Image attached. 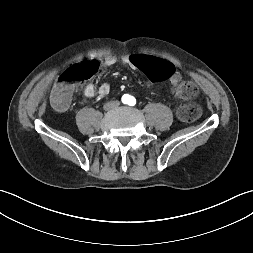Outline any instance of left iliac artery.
I'll use <instances>...</instances> for the list:
<instances>
[{
    "instance_id": "44dca946",
    "label": "left iliac artery",
    "mask_w": 253,
    "mask_h": 253,
    "mask_svg": "<svg viewBox=\"0 0 253 253\" xmlns=\"http://www.w3.org/2000/svg\"><path fill=\"white\" fill-rule=\"evenodd\" d=\"M128 104H129L130 106H134V105L136 104V99H135L134 97H130V98H129Z\"/></svg>"
}]
</instances>
